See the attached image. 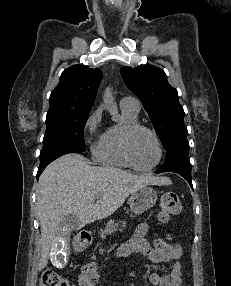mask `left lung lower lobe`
<instances>
[{"label":"left lung lower lobe","instance_id":"left-lung-lower-lobe-1","mask_svg":"<svg viewBox=\"0 0 231 286\" xmlns=\"http://www.w3.org/2000/svg\"><path fill=\"white\" fill-rule=\"evenodd\" d=\"M167 155L163 166L155 173L175 172L184 177L191 188V164L189 161V144L187 139L174 141L166 149Z\"/></svg>","mask_w":231,"mask_h":286}]
</instances>
